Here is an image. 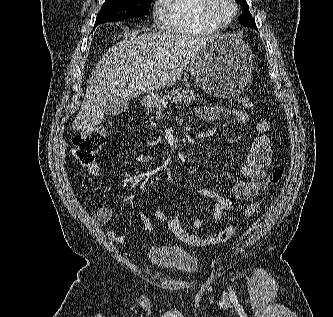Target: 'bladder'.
Wrapping results in <instances>:
<instances>
[{"mask_svg":"<svg viewBox=\"0 0 333 317\" xmlns=\"http://www.w3.org/2000/svg\"><path fill=\"white\" fill-rule=\"evenodd\" d=\"M149 264L156 269L176 270L185 275H193L199 269L196 256L171 246H153L147 252Z\"/></svg>","mask_w":333,"mask_h":317,"instance_id":"31cf9c89","label":"bladder"}]
</instances>
